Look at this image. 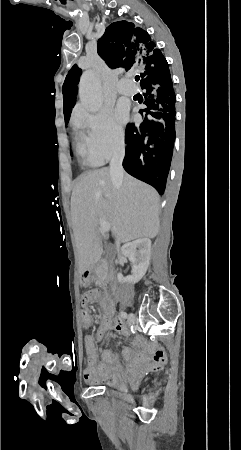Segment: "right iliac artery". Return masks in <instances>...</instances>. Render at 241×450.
I'll use <instances>...</instances> for the list:
<instances>
[{
  "label": "right iliac artery",
  "instance_id": "right-iliac-artery-1",
  "mask_svg": "<svg viewBox=\"0 0 241 450\" xmlns=\"http://www.w3.org/2000/svg\"><path fill=\"white\" fill-rule=\"evenodd\" d=\"M121 318L126 319L127 318V314L126 312H121L120 313Z\"/></svg>",
  "mask_w": 241,
  "mask_h": 450
}]
</instances>
